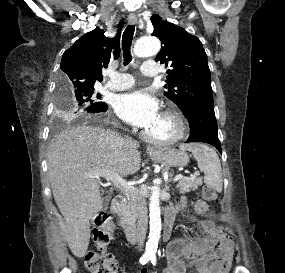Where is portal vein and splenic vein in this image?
<instances>
[{
  "instance_id": "portal-vein-and-splenic-vein-1",
  "label": "portal vein and splenic vein",
  "mask_w": 285,
  "mask_h": 273,
  "mask_svg": "<svg viewBox=\"0 0 285 273\" xmlns=\"http://www.w3.org/2000/svg\"><path fill=\"white\" fill-rule=\"evenodd\" d=\"M96 177H103L111 180L118 188L125 191H130L134 189L132 184L126 182L120 175L115 172L107 171V170H98L94 173ZM196 175H192L190 178L183 176L182 174H178L174 178V182H177L181 179H195Z\"/></svg>"
}]
</instances>
